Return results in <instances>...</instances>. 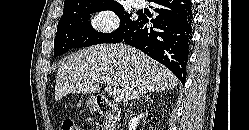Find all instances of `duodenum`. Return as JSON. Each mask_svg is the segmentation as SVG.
<instances>
[{
	"label": "duodenum",
	"mask_w": 249,
	"mask_h": 130,
	"mask_svg": "<svg viewBox=\"0 0 249 130\" xmlns=\"http://www.w3.org/2000/svg\"><path fill=\"white\" fill-rule=\"evenodd\" d=\"M97 109L101 114L110 117V126L112 127L119 116V109L109 99L99 96L96 100Z\"/></svg>",
	"instance_id": "1"
}]
</instances>
